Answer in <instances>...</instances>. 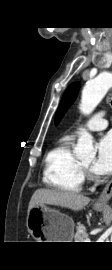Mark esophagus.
<instances>
[{
    "label": "esophagus",
    "mask_w": 112,
    "mask_h": 270,
    "mask_svg": "<svg viewBox=\"0 0 112 270\" xmlns=\"http://www.w3.org/2000/svg\"><path fill=\"white\" fill-rule=\"evenodd\" d=\"M112 197V179L107 183L100 196L96 199L95 205L99 207L106 206Z\"/></svg>",
    "instance_id": "esophagus-1"
}]
</instances>
